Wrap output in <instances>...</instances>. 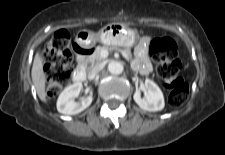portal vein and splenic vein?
Returning a JSON list of instances; mask_svg holds the SVG:
<instances>
[{
  "instance_id": "18ae733b",
  "label": "portal vein and splenic vein",
  "mask_w": 225,
  "mask_h": 155,
  "mask_svg": "<svg viewBox=\"0 0 225 155\" xmlns=\"http://www.w3.org/2000/svg\"><path fill=\"white\" fill-rule=\"evenodd\" d=\"M122 55H123L127 60L129 59L126 53L122 52ZM101 56H102L103 58L107 57V56H108V52H107V51H103V52L101 53Z\"/></svg>"
}]
</instances>
